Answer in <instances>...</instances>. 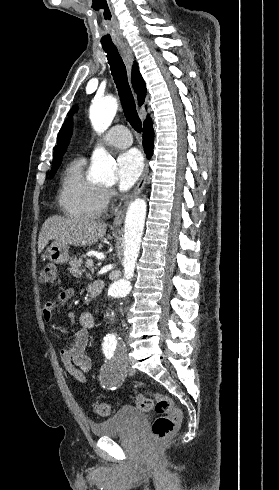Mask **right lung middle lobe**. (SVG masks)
<instances>
[{"label": "right lung middle lobe", "instance_id": "dd1d6c3e", "mask_svg": "<svg viewBox=\"0 0 279 490\" xmlns=\"http://www.w3.org/2000/svg\"><path fill=\"white\" fill-rule=\"evenodd\" d=\"M57 169L58 168H55V169L51 170V173H50V176H49L50 179L54 176V174H55V172H56Z\"/></svg>", "mask_w": 279, "mask_h": 490}]
</instances>
